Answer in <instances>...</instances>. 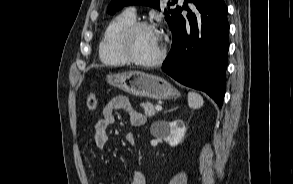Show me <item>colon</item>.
Here are the masks:
<instances>
[{"instance_id":"obj_1","label":"colon","mask_w":293,"mask_h":184,"mask_svg":"<svg viewBox=\"0 0 293 184\" xmlns=\"http://www.w3.org/2000/svg\"><path fill=\"white\" fill-rule=\"evenodd\" d=\"M87 107L90 111H94L97 107V96L94 92L90 93L87 98Z\"/></svg>"}]
</instances>
